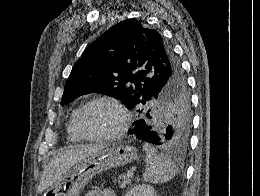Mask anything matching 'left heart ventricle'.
<instances>
[{
	"mask_svg": "<svg viewBox=\"0 0 260 196\" xmlns=\"http://www.w3.org/2000/svg\"><path fill=\"white\" fill-rule=\"evenodd\" d=\"M121 124L118 110L104 102L86 108L81 115V126L88 135L101 136L115 131Z\"/></svg>",
	"mask_w": 260,
	"mask_h": 196,
	"instance_id": "b2bd125f",
	"label": "left heart ventricle"
}]
</instances>
